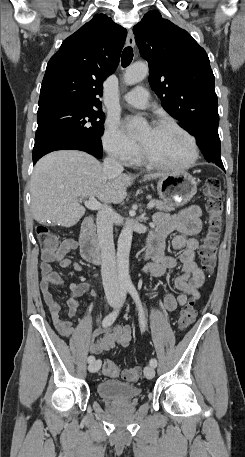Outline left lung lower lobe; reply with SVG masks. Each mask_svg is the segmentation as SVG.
Wrapping results in <instances>:
<instances>
[{
	"label": "left lung lower lobe",
	"instance_id": "1",
	"mask_svg": "<svg viewBox=\"0 0 245 457\" xmlns=\"http://www.w3.org/2000/svg\"><path fill=\"white\" fill-rule=\"evenodd\" d=\"M218 123L219 122H206L199 125V129L189 130L188 132L195 136L197 144L201 149L206 161L215 163L217 166L224 170V166L221 160Z\"/></svg>",
	"mask_w": 245,
	"mask_h": 457
}]
</instances>
